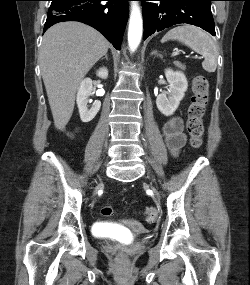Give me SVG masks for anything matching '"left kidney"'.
<instances>
[{"label": "left kidney", "mask_w": 250, "mask_h": 285, "mask_svg": "<svg viewBox=\"0 0 250 285\" xmlns=\"http://www.w3.org/2000/svg\"><path fill=\"white\" fill-rule=\"evenodd\" d=\"M165 76L169 83V89L157 96L156 105L158 110L165 116H171L178 108L188 88L185 75L172 69L165 70Z\"/></svg>", "instance_id": "5707ae66"}]
</instances>
